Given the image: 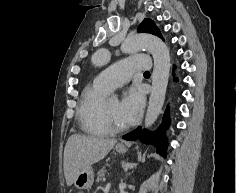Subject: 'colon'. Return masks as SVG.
Instances as JSON below:
<instances>
[{"mask_svg":"<svg viewBox=\"0 0 237 193\" xmlns=\"http://www.w3.org/2000/svg\"><path fill=\"white\" fill-rule=\"evenodd\" d=\"M75 193H84V192L80 190V191H76Z\"/></svg>","mask_w":237,"mask_h":193,"instance_id":"5ec220e1","label":"colon"}]
</instances>
